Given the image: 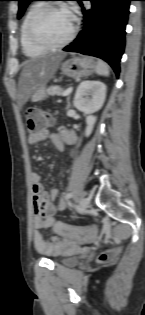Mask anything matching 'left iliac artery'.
I'll return each mask as SVG.
<instances>
[{"mask_svg": "<svg viewBox=\"0 0 145 315\" xmlns=\"http://www.w3.org/2000/svg\"><path fill=\"white\" fill-rule=\"evenodd\" d=\"M72 196H73L72 193H68V194L66 195V198H67V199H70V198H72Z\"/></svg>", "mask_w": 145, "mask_h": 315, "instance_id": "left-iliac-artery-1", "label": "left iliac artery"}]
</instances>
